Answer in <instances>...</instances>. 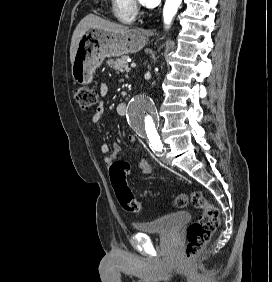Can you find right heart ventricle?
Listing matches in <instances>:
<instances>
[{"label": "right heart ventricle", "mask_w": 272, "mask_h": 282, "mask_svg": "<svg viewBox=\"0 0 272 282\" xmlns=\"http://www.w3.org/2000/svg\"><path fill=\"white\" fill-rule=\"evenodd\" d=\"M115 16L124 23H131L136 17L134 9L131 7L130 0H112Z\"/></svg>", "instance_id": "1"}]
</instances>
